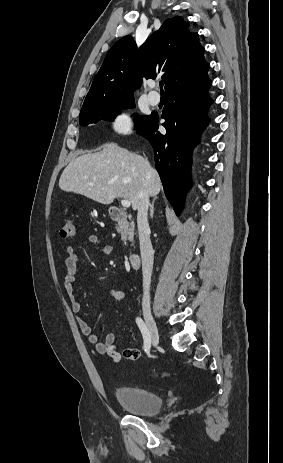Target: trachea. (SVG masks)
<instances>
[{"mask_svg": "<svg viewBox=\"0 0 283 463\" xmlns=\"http://www.w3.org/2000/svg\"><path fill=\"white\" fill-rule=\"evenodd\" d=\"M159 85H160L161 93L163 94V92H164L163 91V82H160Z\"/></svg>", "mask_w": 283, "mask_h": 463, "instance_id": "obj_1", "label": "trachea"}]
</instances>
